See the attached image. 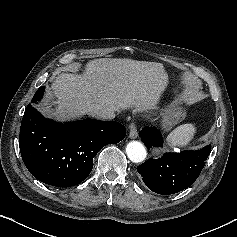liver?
Masks as SVG:
<instances>
[{
	"mask_svg": "<svg viewBox=\"0 0 237 237\" xmlns=\"http://www.w3.org/2000/svg\"><path fill=\"white\" fill-rule=\"evenodd\" d=\"M166 83L167 74L161 63L96 59L86 64L83 74L62 73L56 77L51 114L64 119L92 115L102 109L146 110L158 100Z\"/></svg>",
	"mask_w": 237,
	"mask_h": 237,
	"instance_id": "1",
	"label": "liver"
}]
</instances>
